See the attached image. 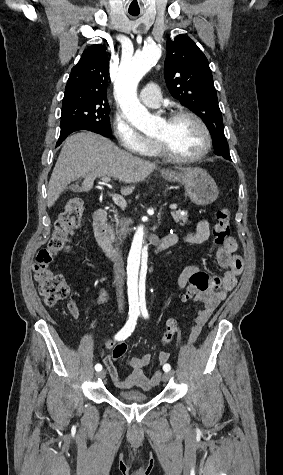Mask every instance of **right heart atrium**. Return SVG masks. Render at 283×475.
<instances>
[{"label": "right heart atrium", "instance_id": "right-heart-atrium-1", "mask_svg": "<svg viewBox=\"0 0 283 475\" xmlns=\"http://www.w3.org/2000/svg\"><path fill=\"white\" fill-rule=\"evenodd\" d=\"M111 130L117 138L119 152L124 155H143L144 158L150 154L153 142L139 133L124 114H115Z\"/></svg>", "mask_w": 283, "mask_h": 475}]
</instances>
